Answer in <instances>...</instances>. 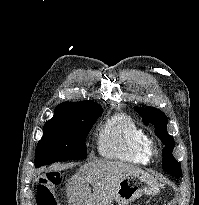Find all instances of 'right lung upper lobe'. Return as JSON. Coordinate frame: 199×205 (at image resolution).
I'll return each instance as SVG.
<instances>
[{
	"instance_id": "1",
	"label": "right lung upper lobe",
	"mask_w": 199,
	"mask_h": 205,
	"mask_svg": "<svg viewBox=\"0 0 199 205\" xmlns=\"http://www.w3.org/2000/svg\"><path fill=\"white\" fill-rule=\"evenodd\" d=\"M77 103H94V102H91V101H83V102H63V103L57 105L56 108H59V107H62V106H66V105L77 104Z\"/></svg>"
}]
</instances>
